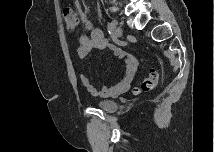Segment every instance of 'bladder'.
<instances>
[{
  "mask_svg": "<svg viewBox=\"0 0 215 152\" xmlns=\"http://www.w3.org/2000/svg\"><path fill=\"white\" fill-rule=\"evenodd\" d=\"M97 107L106 113H114L118 108V104L114 101L103 100L97 102Z\"/></svg>",
  "mask_w": 215,
  "mask_h": 152,
  "instance_id": "obj_1",
  "label": "bladder"
}]
</instances>
